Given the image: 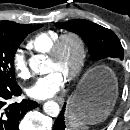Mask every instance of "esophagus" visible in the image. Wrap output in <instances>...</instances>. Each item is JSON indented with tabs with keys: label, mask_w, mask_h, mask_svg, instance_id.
<instances>
[{
	"label": "esophagus",
	"mask_w": 130,
	"mask_h": 130,
	"mask_svg": "<svg viewBox=\"0 0 130 130\" xmlns=\"http://www.w3.org/2000/svg\"><path fill=\"white\" fill-rule=\"evenodd\" d=\"M55 101H57L59 104H63L65 102L64 98L62 97H56L54 98ZM39 103H42V101H39Z\"/></svg>",
	"instance_id": "34e87169"
}]
</instances>
